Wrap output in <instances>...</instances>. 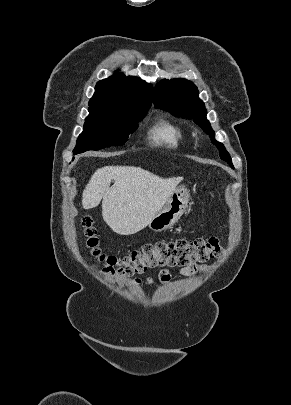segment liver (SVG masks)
<instances>
[{"instance_id": "liver-1", "label": "liver", "mask_w": 291, "mask_h": 405, "mask_svg": "<svg viewBox=\"0 0 291 405\" xmlns=\"http://www.w3.org/2000/svg\"><path fill=\"white\" fill-rule=\"evenodd\" d=\"M181 180L161 178L140 167L105 166L96 170L86 185L82 206L91 209L102 201L106 224L117 234H135L164 207Z\"/></svg>"}]
</instances>
